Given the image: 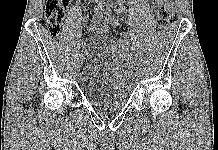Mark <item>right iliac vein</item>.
Returning a JSON list of instances; mask_svg holds the SVG:
<instances>
[{
	"instance_id": "obj_1",
	"label": "right iliac vein",
	"mask_w": 218,
	"mask_h": 150,
	"mask_svg": "<svg viewBox=\"0 0 218 150\" xmlns=\"http://www.w3.org/2000/svg\"><path fill=\"white\" fill-rule=\"evenodd\" d=\"M80 60H81V56H80ZM80 60L78 61V66L77 67H80Z\"/></svg>"
}]
</instances>
